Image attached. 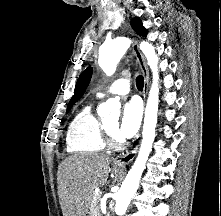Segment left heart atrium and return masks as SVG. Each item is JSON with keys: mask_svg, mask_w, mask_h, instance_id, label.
Segmentation results:
<instances>
[{"mask_svg": "<svg viewBox=\"0 0 221 216\" xmlns=\"http://www.w3.org/2000/svg\"><path fill=\"white\" fill-rule=\"evenodd\" d=\"M142 118V108L137 100L126 103L121 119L116 126V134L123 139L133 137L139 129Z\"/></svg>", "mask_w": 221, "mask_h": 216, "instance_id": "1", "label": "left heart atrium"}]
</instances>
